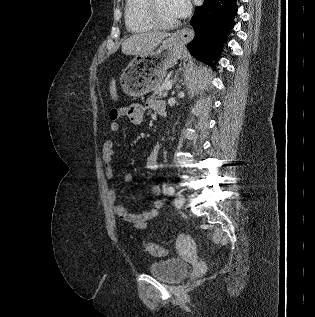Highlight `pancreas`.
<instances>
[{"instance_id": "cf45deb5", "label": "pancreas", "mask_w": 315, "mask_h": 317, "mask_svg": "<svg viewBox=\"0 0 315 317\" xmlns=\"http://www.w3.org/2000/svg\"><path fill=\"white\" fill-rule=\"evenodd\" d=\"M166 83H161L158 87L154 89L152 98L161 97L164 98L167 96L168 92L165 89Z\"/></svg>"}]
</instances>
